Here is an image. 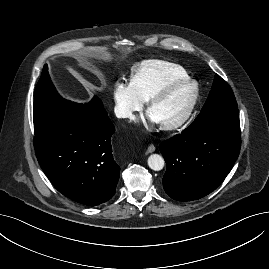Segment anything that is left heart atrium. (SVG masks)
<instances>
[{"instance_id":"39dd6f15","label":"left heart atrium","mask_w":269,"mask_h":269,"mask_svg":"<svg viewBox=\"0 0 269 269\" xmlns=\"http://www.w3.org/2000/svg\"><path fill=\"white\" fill-rule=\"evenodd\" d=\"M145 119H146V121H148V122H152V123L157 122V121L154 119V117H153L150 113H148V114L146 115Z\"/></svg>"}]
</instances>
